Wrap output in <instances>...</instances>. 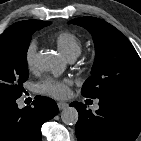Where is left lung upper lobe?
Returning a JSON list of instances; mask_svg holds the SVG:
<instances>
[{"label": "left lung upper lobe", "mask_w": 141, "mask_h": 141, "mask_svg": "<svg viewBox=\"0 0 141 141\" xmlns=\"http://www.w3.org/2000/svg\"><path fill=\"white\" fill-rule=\"evenodd\" d=\"M69 23L86 28L95 44V61L81 90L85 97L107 95L141 99V59L130 41L114 26L95 17Z\"/></svg>", "instance_id": "5c2ea615"}]
</instances>
